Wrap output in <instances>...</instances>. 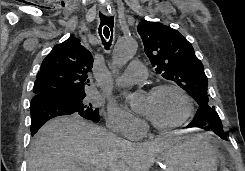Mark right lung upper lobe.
I'll list each match as a JSON object with an SVG mask.
<instances>
[{"mask_svg": "<svg viewBox=\"0 0 245 171\" xmlns=\"http://www.w3.org/2000/svg\"><path fill=\"white\" fill-rule=\"evenodd\" d=\"M92 67V54L78 38L70 37L55 45L37 74L33 99L85 94L84 87L90 82L88 77Z\"/></svg>", "mask_w": 245, "mask_h": 171, "instance_id": "cb5924a9", "label": "right lung upper lobe"}]
</instances>
